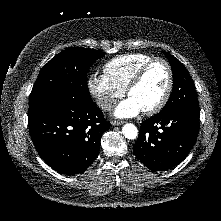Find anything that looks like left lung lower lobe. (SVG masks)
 Instances as JSON below:
<instances>
[{
	"instance_id": "obj_1",
	"label": "left lung lower lobe",
	"mask_w": 221,
	"mask_h": 221,
	"mask_svg": "<svg viewBox=\"0 0 221 221\" xmlns=\"http://www.w3.org/2000/svg\"><path fill=\"white\" fill-rule=\"evenodd\" d=\"M200 111L173 108L143 121L133 146L136 157L152 171L177 166L194 146L199 132Z\"/></svg>"
}]
</instances>
